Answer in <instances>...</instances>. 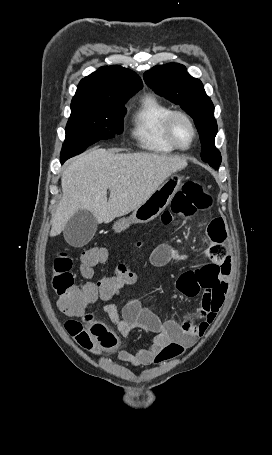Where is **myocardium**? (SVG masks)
<instances>
[{
  "label": "myocardium",
  "mask_w": 272,
  "mask_h": 455,
  "mask_svg": "<svg viewBox=\"0 0 272 455\" xmlns=\"http://www.w3.org/2000/svg\"><path fill=\"white\" fill-rule=\"evenodd\" d=\"M178 117L184 119L188 123V125L190 126V128L192 130V139H191L190 143L187 146H185V147L180 146L176 142V140L174 138V135H173V122ZM163 129H164L165 138L168 141V143L175 150H179V151H187V150H189L193 146L194 142L197 139V135H198L197 128H196L192 118L186 112L181 111V110H171L167 114V116L165 117V120H164Z\"/></svg>",
  "instance_id": "f54148a6"
}]
</instances>
